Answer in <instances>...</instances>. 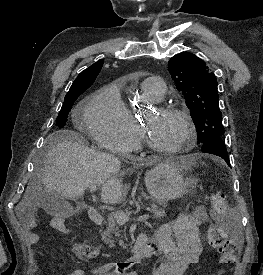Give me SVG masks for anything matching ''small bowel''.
<instances>
[{
    "label": "small bowel",
    "instance_id": "c3829d8e",
    "mask_svg": "<svg viewBox=\"0 0 263 275\" xmlns=\"http://www.w3.org/2000/svg\"><path fill=\"white\" fill-rule=\"evenodd\" d=\"M55 221L64 223L61 219ZM210 222L209 215L203 207H198L190 213H181L174 220L161 225L156 232V241H150L151 256H163L166 260L157 265L151 275H184L186 270L199 261L203 251L201 227ZM26 227L31 229L35 222L25 220ZM174 237L175 242L172 240ZM32 243L39 241L36 233H30ZM72 249L79 256L93 259L99 256V246H89L75 242ZM92 275H137L135 271H121L115 265L103 264L90 269ZM69 275H87L78 269Z\"/></svg>",
    "mask_w": 263,
    "mask_h": 275
}]
</instances>
